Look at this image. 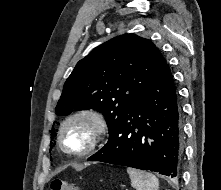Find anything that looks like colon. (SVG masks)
I'll use <instances>...</instances> for the list:
<instances>
[{"label":"colon","instance_id":"colon-1","mask_svg":"<svg viewBox=\"0 0 221 190\" xmlns=\"http://www.w3.org/2000/svg\"><path fill=\"white\" fill-rule=\"evenodd\" d=\"M50 190H80L78 186L69 184L61 179H54L50 184Z\"/></svg>","mask_w":221,"mask_h":190}]
</instances>
